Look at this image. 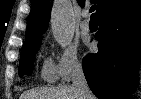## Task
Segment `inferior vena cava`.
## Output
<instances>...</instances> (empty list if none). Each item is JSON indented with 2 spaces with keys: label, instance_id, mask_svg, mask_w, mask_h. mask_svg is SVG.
Segmentation results:
<instances>
[{
  "label": "inferior vena cava",
  "instance_id": "obj_1",
  "mask_svg": "<svg viewBox=\"0 0 141 99\" xmlns=\"http://www.w3.org/2000/svg\"><path fill=\"white\" fill-rule=\"evenodd\" d=\"M72 86L77 90L80 99H95L84 76L81 64H75L72 72Z\"/></svg>",
  "mask_w": 141,
  "mask_h": 99
}]
</instances>
